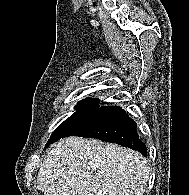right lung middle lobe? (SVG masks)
Returning <instances> with one entry per match:
<instances>
[{"label":"right lung middle lobe","mask_w":189,"mask_h":195,"mask_svg":"<svg viewBox=\"0 0 189 195\" xmlns=\"http://www.w3.org/2000/svg\"><path fill=\"white\" fill-rule=\"evenodd\" d=\"M98 102L99 99L97 98H86L79 102L76 106L77 111L52 133L46 147L61 138L72 136L82 128L99 108Z\"/></svg>","instance_id":"1"}]
</instances>
